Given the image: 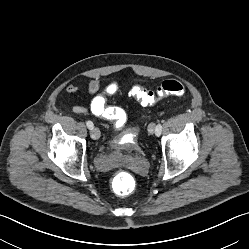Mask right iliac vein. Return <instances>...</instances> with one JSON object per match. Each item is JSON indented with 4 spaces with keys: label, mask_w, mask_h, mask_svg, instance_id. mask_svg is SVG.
<instances>
[{
    "label": "right iliac vein",
    "mask_w": 249,
    "mask_h": 249,
    "mask_svg": "<svg viewBox=\"0 0 249 249\" xmlns=\"http://www.w3.org/2000/svg\"><path fill=\"white\" fill-rule=\"evenodd\" d=\"M91 138L94 140H98L101 136L100 130L98 128L91 129Z\"/></svg>",
    "instance_id": "63e3f726"
}]
</instances>
